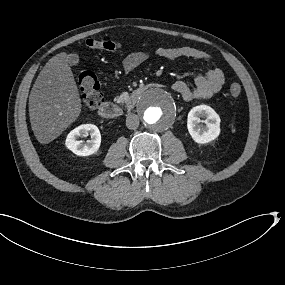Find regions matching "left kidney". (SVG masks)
Wrapping results in <instances>:
<instances>
[{
  "instance_id": "5707ae66",
  "label": "left kidney",
  "mask_w": 285,
  "mask_h": 285,
  "mask_svg": "<svg viewBox=\"0 0 285 285\" xmlns=\"http://www.w3.org/2000/svg\"><path fill=\"white\" fill-rule=\"evenodd\" d=\"M199 118H205V130H200L197 124L200 123ZM220 117L209 106L199 105L193 107L187 117V129L192 140L200 145L208 144L218 138L221 133Z\"/></svg>"
}]
</instances>
